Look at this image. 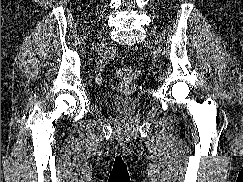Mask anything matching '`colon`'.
I'll return each mask as SVG.
<instances>
[{"instance_id":"1","label":"colon","mask_w":243,"mask_h":182,"mask_svg":"<svg viewBox=\"0 0 243 182\" xmlns=\"http://www.w3.org/2000/svg\"><path fill=\"white\" fill-rule=\"evenodd\" d=\"M117 74L121 79L125 81H131L139 76L140 70L135 66H126L120 68L117 71Z\"/></svg>"}]
</instances>
